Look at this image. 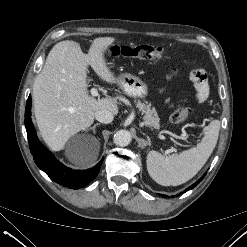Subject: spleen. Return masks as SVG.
I'll return each instance as SVG.
<instances>
[{
	"label": "spleen",
	"mask_w": 247,
	"mask_h": 247,
	"mask_svg": "<svg viewBox=\"0 0 247 247\" xmlns=\"http://www.w3.org/2000/svg\"><path fill=\"white\" fill-rule=\"evenodd\" d=\"M220 121L213 120L204 128V137L196 147L180 154L163 156L157 151L147 155L150 177L163 186H178L192 179L211 156L218 140Z\"/></svg>",
	"instance_id": "3e777b00"
}]
</instances>
